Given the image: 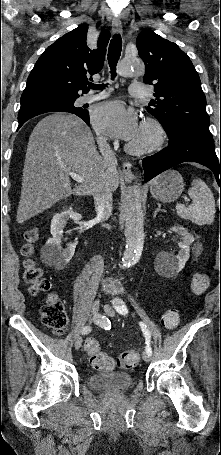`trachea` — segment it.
I'll list each match as a JSON object with an SVG mask.
<instances>
[{"label":"trachea","mask_w":221,"mask_h":455,"mask_svg":"<svg viewBox=\"0 0 221 455\" xmlns=\"http://www.w3.org/2000/svg\"><path fill=\"white\" fill-rule=\"evenodd\" d=\"M122 51V39L120 34H115L110 42L109 49H108V63L110 66V73L112 79L116 77V65L120 58ZM107 85L106 84H89L88 88L94 90H101L104 89Z\"/></svg>","instance_id":"1"}]
</instances>
